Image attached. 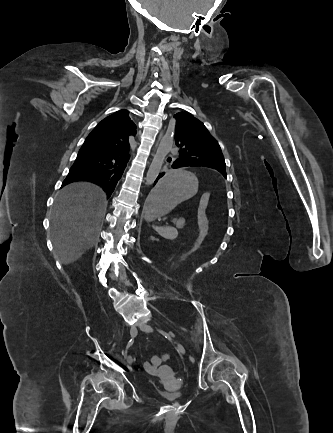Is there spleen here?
Masks as SVG:
<instances>
[{
    "instance_id": "1",
    "label": "spleen",
    "mask_w": 333,
    "mask_h": 433,
    "mask_svg": "<svg viewBox=\"0 0 333 433\" xmlns=\"http://www.w3.org/2000/svg\"><path fill=\"white\" fill-rule=\"evenodd\" d=\"M195 193L196 192H194V194ZM147 221H153V220H147ZM152 227L163 238L171 239L172 240V239H175L178 236L177 231H174L172 229V227H169V226H155V225H153Z\"/></svg>"
}]
</instances>
